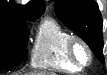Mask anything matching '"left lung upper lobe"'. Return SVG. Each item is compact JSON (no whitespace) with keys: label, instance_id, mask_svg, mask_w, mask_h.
<instances>
[{"label":"left lung upper lobe","instance_id":"obj_1","mask_svg":"<svg viewBox=\"0 0 107 75\" xmlns=\"http://www.w3.org/2000/svg\"><path fill=\"white\" fill-rule=\"evenodd\" d=\"M58 18L92 49L102 64L103 21L97 3L94 0H58L55 4Z\"/></svg>","mask_w":107,"mask_h":75}]
</instances>
